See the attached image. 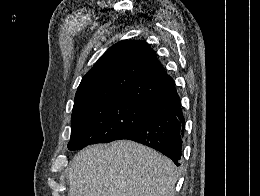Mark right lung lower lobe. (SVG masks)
<instances>
[{"instance_id":"obj_1","label":"right lung lower lobe","mask_w":260,"mask_h":196,"mask_svg":"<svg viewBox=\"0 0 260 196\" xmlns=\"http://www.w3.org/2000/svg\"><path fill=\"white\" fill-rule=\"evenodd\" d=\"M141 108L152 117L117 140L128 139L154 148L179 166L185 121L175 85L160 96L142 103Z\"/></svg>"}]
</instances>
